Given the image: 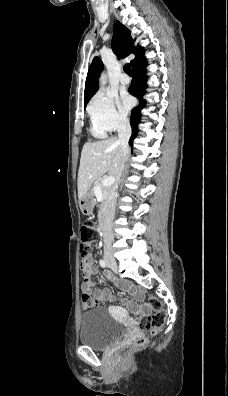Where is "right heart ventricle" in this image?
<instances>
[{"mask_svg": "<svg viewBox=\"0 0 228 396\" xmlns=\"http://www.w3.org/2000/svg\"><path fill=\"white\" fill-rule=\"evenodd\" d=\"M92 133L96 137H103L105 135L104 131L97 128L95 125L92 126Z\"/></svg>", "mask_w": 228, "mask_h": 396, "instance_id": "e07e8e85", "label": "right heart ventricle"}]
</instances>
